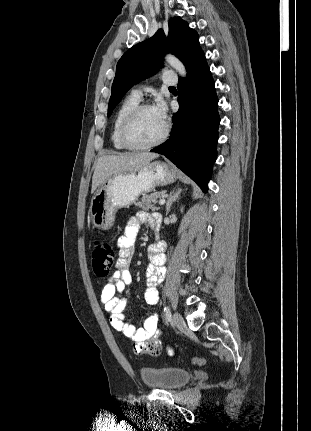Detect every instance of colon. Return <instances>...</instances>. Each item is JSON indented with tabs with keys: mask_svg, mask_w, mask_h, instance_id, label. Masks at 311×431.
<instances>
[{
	"mask_svg": "<svg viewBox=\"0 0 311 431\" xmlns=\"http://www.w3.org/2000/svg\"><path fill=\"white\" fill-rule=\"evenodd\" d=\"M115 253L107 242H96L91 249V262L95 274L99 277L107 276L114 264ZM138 352L157 355L161 351V344L158 341L136 344ZM190 362L194 365L202 366L206 360L203 357H193Z\"/></svg>",
	"mask_w": 311,
	"mask_h": 431,
	"instance_id": "colon-1",
	"label": "colon"
}]
</instances>
